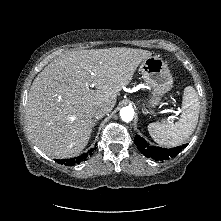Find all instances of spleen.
Returning <instances> with one entry per match:
<instances>
[{"instance_id": "3e777b00", "label": "spleen", "mask_w": 221, "mask_h": 221, "mask_svg": "<svg viewBox=\"0 0 221 221\" xmlns=\"http://www.w3.org/2000/svg\"><path fill=\"white\" fill-rule=\"evenodd\" d=\"M200 111L197 92L192 86L184 89L182 114L176 123L155 122L148 125L150 136L155 142L167 147L184 143L194 132Z\"/></svg>"}]
</instances>
